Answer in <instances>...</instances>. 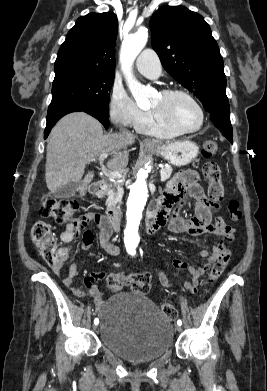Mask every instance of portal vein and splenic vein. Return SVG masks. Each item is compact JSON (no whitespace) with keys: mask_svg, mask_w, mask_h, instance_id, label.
<instances>
[{"mask_svg":"<svg viewBox=\"0 0 267 391\" xmlns=\"http://www.w3.org/2000/svg\"><path fill=\"white\" fill-rule=\"evenodd\" d=\"M107 154H101L99 156V160L100 162H102L105 158H107ZM159 167L161 169H163V165H159ZM103 173L106 175V176H109L111 178H115V179H121L123 177L122 175V172H119V171H110V170H103Z\"/></svg>","mask_w":267,"mask_h":391,"instance_id":"portal-vein-and-splenic-vein-1","label":"portal vein and splenic vein"}]
</instances>
